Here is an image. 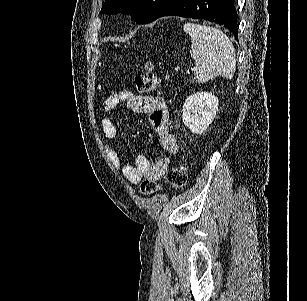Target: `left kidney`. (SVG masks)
<instances>
[{
	"label": "left kidney",
	"mask_w": 307,
	"mask_h": 301,
	"mask_svg": "<svg viewBox=\"0 0 307 301\" xmlns=\"http://www.w3.org/2000/svg\"><path fill=\"white\" fill-rule=\"evenodd\" d=\"M219 100L212 92L189 94L183 104L182 120L195 134L205 132L215 118Z\"/></svg>",
	"instance_id": "5707ae66"
}]
</instances>
